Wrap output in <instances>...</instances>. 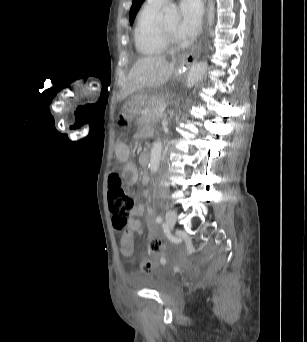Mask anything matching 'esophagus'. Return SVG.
<instances>
[{
    "instance_id": "esophagus-1",
    "label": "esophagus",
    "mask_w": 307,
    "mask_h": 342,
    "mask_svg": "<svg viewBox=\"0 0 307 342\" xmlns=\"http://www.w3.org/2000/svg\"><path fill=\"white\" fill-rule=\"evenodd\" d=\"M200 53H201V47L198 46L194 48L190 53L185 55L183 57V61L187 62L188 64L195 63L199 59Z\"/></svg>"
}]
</instances>
